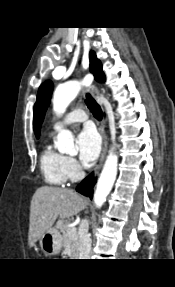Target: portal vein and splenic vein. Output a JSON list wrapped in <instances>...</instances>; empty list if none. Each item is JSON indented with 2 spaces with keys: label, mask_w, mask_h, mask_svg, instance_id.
<instances>
[{
  "label": "portal vein and splenic vein",
  "mask_w": 175,
  "mask_h": 287,
  "mask_svg": "<svg viewBox=\"0 0 175 287\" xmlns=\"http://www.w3.org/2000/svg\"><path fill=\"white\" fill-rule=\"evenodd\" d=\"M76 231H77L76 227H71L70 230L68 231V234L69 235L74 234V233H76Z\"/></svg>",
  "instance_id": "1"
}]
</instances>
